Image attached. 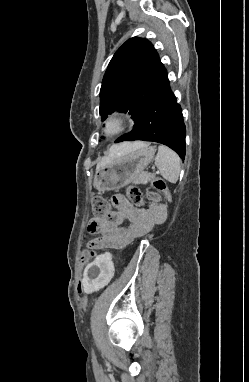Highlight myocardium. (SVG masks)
I'll list each match as a JSON object with an SVG mask.
<instances>
[{"instance_id": "f54148a6", "label": "myocardium", "mask_w": 249, "mask_h": 382, "mask_svg": "<svg viewBox=\"0 0 249 382\" xmlns=\"http://www.w3.org/2000/svg\"><path fill=\"white\" fill-rule=\"evenodd\" d=\"M126 126V118L122 113L114 112L109 114L102 125V132L105 136L112 137L121 133Z\"/></svg>"}]
</instances>
